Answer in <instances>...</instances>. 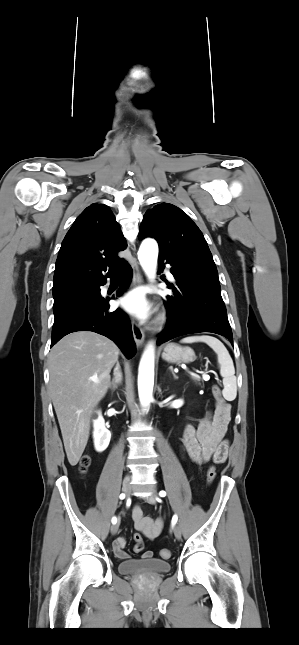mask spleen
Instances as JSON below:
<instances>
[{
  "instance_id": "3e777b00",
  "label": "spleen",
  "mask_w": 299,
  "mask_h": 645,
  "mask_svg": "<svg viewBox=\"0 0 299 645\" xmlns=\"http://www.w3.org/2000/svg\"><path fill=\"white\" fill-rule=\"evenodd\" d=\"M204 342L210 346L217 354L218 364L220 367V374L223 377V396L228 401H233L237 396V383L235 376V368L232 358L223 343L215 337L202 335V336H189L181 340V343H194Z\"/></svg>"
}]
</instances>
